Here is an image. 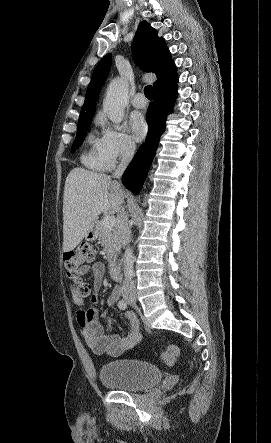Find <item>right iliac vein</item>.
<instances>
[{
	"instance_id": "obj_1",
	"label": "right iliac vein",
	"mask_w": 271,
	"mask_h": 443,
	"mask_svg": "<svg viewBox=\"0 0 271 443\" xmlns=\"http://www.w3.org/2000/svg\"><path fill=\"white\" fill-rule=\"evenodd\" d=\"M126 299H127L128 301H134V300H135V296H134V295H128V296L126 297Z\"/></svg>"
}]
</instances>
